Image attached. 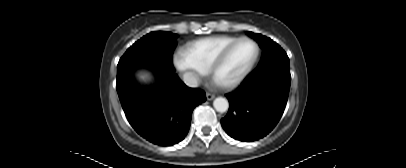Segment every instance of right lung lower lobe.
<instances>
[{
    "instance_id": "obj_1",
    "label": "right lung lower lobe",
    "mask_w": 406,
    "mask_h": 168,
    "mask_svg": "<svg viewBox=\"0 0 406 168\" xmlns=\"http://www.w3.org/2000/svg\"><path fill=\"white\" fill-rule=\"evenodd\" d=\"M125 115L146 140L171 146L189 131L193 109L206 100L204 91L187 87L174 71L154 74L149 83L135 77L117 84Z\"/></svg>"
}]
</instances>
